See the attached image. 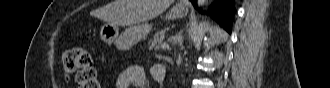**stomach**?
Segmentation results:
<instances>
[{
    "instance_id": "1",
    "label": "stomach",
    "mask_w": 330,
    "mask_h": 88,
    "mask_svg": "<svg viewBox=\"0 0 330 88\" xmlns=\"http://www.w3.org/2000/svg\"><path fill=\"white\" fill-rule=\"evenodd\" d=\"M187 13L188 8L186 6L175 5L165 19L183 18ZM151 29V24L141 23L127 28L119 35L118 25L106 23L101 27L100 38L106 43H115L120 50H127L145 38Z\"/></svg>"
}]
</instances>
